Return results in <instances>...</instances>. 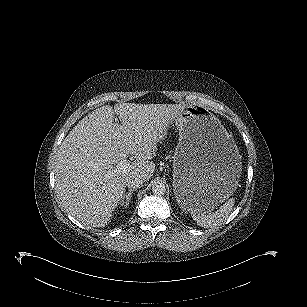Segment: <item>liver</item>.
I'll return each mask as SVG.
<instances>
[{"mask_svg":"<svg viewBox=\"0 0 307 307\" xmlns=\"http://www.w3.org/2000/svg\"><path fill=\"white\" fill-rule=\"evenodd\" d=\"M179 104L118 103L84 117L63 140L55 159L57 196L65 210L85 225L105 227L121 204L128 179L149 180L151 161L164 126L175 119ZM117 115L120 124L114 121ZM135 158L130 169L106 178V172Z\"/></svg>","mask_w":307,"mask_h":307,"instance_id":"6515ba94","label":"liver"}]
</instances>
